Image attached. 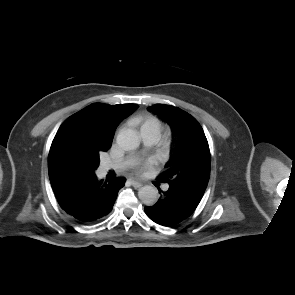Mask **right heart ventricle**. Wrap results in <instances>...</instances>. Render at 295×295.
<instances>
[{
  "label": "right heart ventricle",
  "mask_w": 295,
  "mask_h": 295,
  "mask_svg": "<svg viewBox=\"0 0 295 295\" xmlns=\"http://www.w3.org/2000/svg\"><path fill=\"white\" fill-rule=\"evenodd\" d=\"M140 132H146L154 135L157 139L160 138L164 125L162 121L154 115H145L139 120Z\"/></svg>",
  "instance_id": "obj_1"
}]
</instances>
